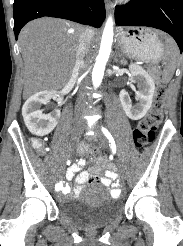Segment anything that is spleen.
Wrapping results in <instances>:
<instances>
[{"instance_id": "obj_1", "label": "spleen", "mask_w": 183, "mask_h": 246, "mask_svg": "<svg viewBox=\"0 0 183 246\" xmlns=\"http://www.w3.org/2000/svg\"><path fill=\"white\" fill-rule=\"evenodd\" d=\"M158 36L161 39H165V53L168 59V65L163 71L162 80L164 83H168L172 78L176 69V61L178 57V47L170 37L159 32Z\"/></svg>"}]
</instances>
